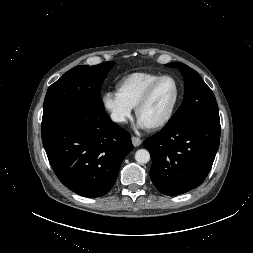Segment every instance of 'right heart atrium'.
I'll use <instances>...</instances> for the list:
<instances>
[{
  "instance_id": "d8ad5b80",
  "label": "right heart atrium",
  "mask_w": 253,
  "mask_h": 253,
  "mask_svg": "<svg viewBox=\"0 0 253 253\" xmlns=\"http://www.w3.org/2000/svg\"><path fill=\"white\" fill-rule=\"evenodd\" d=\"M102 103L116 123H125L131 115V108L122 102L116 93L106 92L102 97Z\"/></svg>"
}]
</instances>
